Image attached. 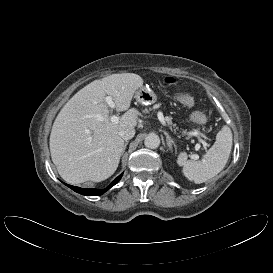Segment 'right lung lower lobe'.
Segmentation results:
<instances>
[{
  "label": "right lung lower lobe",
  "mask_w": 273,
  "mask_h": 273,
  "mask_svg": "<svg viewBox=\"0 0 273 273\" xmlns=\"http://www.w3.org/2000/svg\"><path fill=\"white\" fill-rule=\"evenodd\" d=\"M122 177V174L119 175L107 188L102 189V190H97V189H91V188H80V187H76V186H71L66 184L69 188H71L72 190H74L77 193H80L82 195H86V196H96V195H102L103 193H105L107 190H109L112 186H114Z\"/></svg>",
  "instance_id": "obj_1"
}]
</instances>
